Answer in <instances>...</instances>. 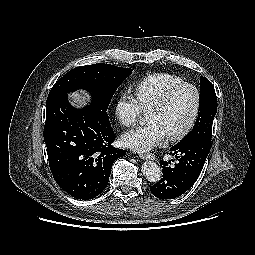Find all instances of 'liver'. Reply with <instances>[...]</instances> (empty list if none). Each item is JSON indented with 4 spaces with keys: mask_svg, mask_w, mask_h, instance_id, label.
Returning a JSON list of instances; mask_svg holds the SVG:
<instances>
[{
    "mask_svg": "<svg viewBox=\"0 0 255 255\" xmlns=\"http://www.w3.org/2000/svg\"><path fill=\"white\" fill-rule=\"evenodd\" d=\"M86 95L81 94H72L70 95V99L72 101V104L75 105L76 107H80L85 104L86 101Z\"/></svg>",
    "mask_w": 255,
    "mask_h": 255,
    "instance_id": "6515ba94",
    "label": "liver"
}]
</instances>
